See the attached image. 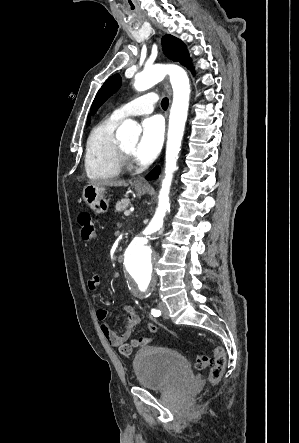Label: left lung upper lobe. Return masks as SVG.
<instances>
[{
	"mask_svg": "<svg viewBox=\"0 0 299 443\" xmlns=\"http://www.w3.org/2000/svg\"><path fill=\"white\" fill-rule=\"evenodd\" d=\"M162 47L164 53L173 61L180 62L182 65L186 66L193 72L191 65V59L187 53L185 44L171 35H165L162 38ZM121 84V78L119 74H115L108 78L103 86L99 89L92 107L91 112L95 111L107 100L113 93H115Z\"/></svg>",
	"mask_w": 299,
	"mask_h": 443,
	"instance_id": "left-lung-upper-lobe-1",
	"label": "left lung upper lobe"
}]
</instances>
